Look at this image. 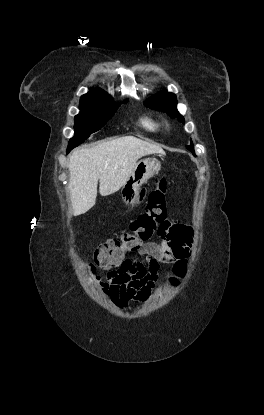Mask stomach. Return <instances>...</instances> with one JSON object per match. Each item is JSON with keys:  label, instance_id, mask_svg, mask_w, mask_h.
<instances>
[{"label": "stomach", "instance_id": "obj_1", "mask_svg": "<svg viewBox=\"0 0 264 415\" xmlns=\"http://www.w3.org/2000/svg\"><path fill=\"white\" fill-rule=\"evenodd\" d=\"M161 169V162L156 158L142 159L136 163L127 182L121 188V197L127 207L139 204L140 187Z\"/></svg>", "mask_w": 264, "mask_h": 415}]
</instances>
